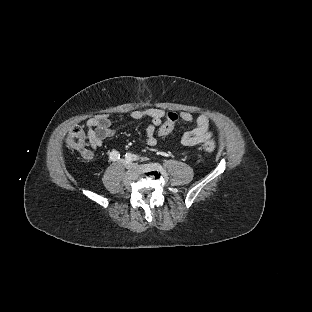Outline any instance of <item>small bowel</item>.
<instances>
[{
  "instance_id": "c3829d8e",
  "label": "small bowel",
  "mask_w": 312,
  "mask_h": 312,
  "mask_svg": "<svg viewBox=\"0 0 312 312\" xmlns=\"http://www.w3.org/2000/svg\"><path fill=\"white\" fill-rule=\"evenodd\" d=\"M168 112L161 108H147L135 110L130 113V117L134 120L149 118L150 123L145 130V143L152 147L157 143L154 131L155 125L163 121L164 116ZM182 120L186 123H195V129L181 136V143L187 147H193L204 143L212 138L210 128V119L205 114H199L197 117L187 110L179 112ZM85 125L88 130L89 147L81 151V156L85 160H91L97 147L101 146L103 141L114 134L111 121L107 115L99 114L89 118Z\"/></svg>"
}]
</instances>
